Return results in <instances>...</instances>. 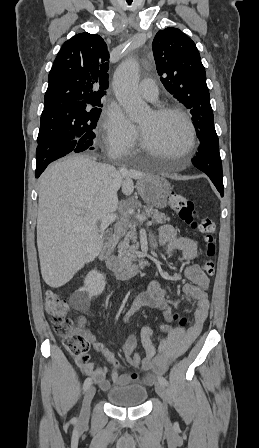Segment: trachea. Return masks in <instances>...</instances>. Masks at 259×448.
Instances as JSON below:
<instances>
[{
    "instance_id": "obj_1",
    "label": "trachea",
    "mask_w": 259,
    "mask_h": 448,
    "mask_svg": "<svg viewBox=\"0 0 259 448\" xmlns=\"http://www.w3.org/2000/svg\"><path fill=\"white\" fill-rule=\"evenodd\" d=\"M128 4H131L133 0H126Z\"/></svg>"
}]
</instances>
